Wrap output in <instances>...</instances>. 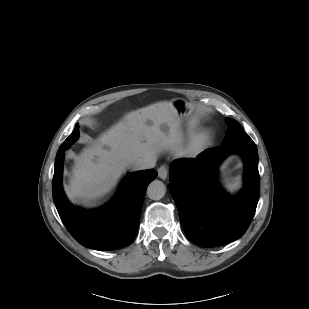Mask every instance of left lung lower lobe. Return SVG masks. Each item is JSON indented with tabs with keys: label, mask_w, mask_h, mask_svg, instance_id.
Instances as JSON below:
<instances>
[{
	"label": "left lung lower lobe",
	"mask_w": 309,
	"mask_h": 309,
	"mask_svg": "<svg viewBox=\"0 0 309 309\" xmlns=\"http://www.w3.org/2000/svg\"><path fill=\"white\" fill-rule=\"evenodd\" d=\"M231 153H239L246 166L244 189L236 197L220 190L214 179L217 166ZM169 179L182 228L192 242L202 247L233 242L246 232L259 200L257 147L246 141L176 159Z\"/></svg>",
	"instance_id": "left-lung-lower-lobe-1"
}]
</instances>
